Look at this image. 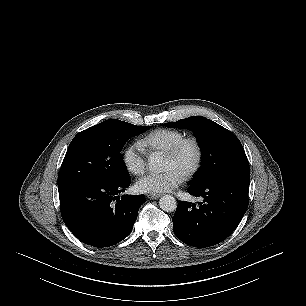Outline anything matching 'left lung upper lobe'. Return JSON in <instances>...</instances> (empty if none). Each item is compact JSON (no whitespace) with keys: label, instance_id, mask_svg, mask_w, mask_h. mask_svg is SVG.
I'll return each mask as SVG.
<instances>
[{"label":"left lung upper lobe","instance_id":"1","mask_svg":"<svg viewBox=\"0 0 306 306\" xmlns=\"http://www.w3.org/2000/svg\"><path fill=\"white\" fill-rule=\"evenodd\" d=\"M172 128H188L194 132L202 151V166L190 185L227 175H250L245 151L229 130L202 116L165 123Z\"/></svg>","mask_w":306,"mask_h":306}]
</instances>
